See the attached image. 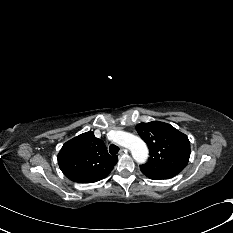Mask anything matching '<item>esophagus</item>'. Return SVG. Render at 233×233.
I'll return each instance as SVG.
<instances>
[{"label":"esophagus","instance_id":"obj_1","mask_svg":"<svg viewBox=\"0 0 233 233\" xmlns=\"http://www.w3.org/2000/svg\"><path fill=\"white\" fill-rule=\"evenodd\" d=\"M127 151H128L127 149L122 148V149L120 150L119 154H120V155H123V154L127 153Z\"/></svg>","mask_w":233,"mask_h":233}]
</instances>
